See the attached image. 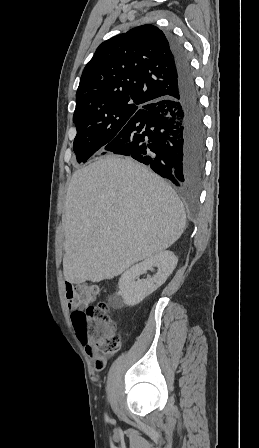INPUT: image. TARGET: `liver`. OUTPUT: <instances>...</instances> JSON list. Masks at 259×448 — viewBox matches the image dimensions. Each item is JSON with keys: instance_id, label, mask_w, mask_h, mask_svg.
Listing matches in <instances>:
<instances>
[{"instance_id": "1", "label": "liver", "mask_w": 259, "mask_h": 448, "mask_svg": "<svg viewBox=\"0 0 259 448\" xmlns=\"http://www.w3.org/2000/svg\"><path fill=\"white\" fill-rule=\"evenodd\" d=\"M63 274L70 284L112 280L172 246L186 224L174 190L143 164L104 156L74 172L65 198Z\"/></svg>"}]
</instances>
